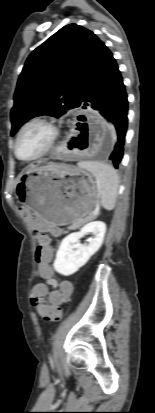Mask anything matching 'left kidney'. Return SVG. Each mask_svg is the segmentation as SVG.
I'll return each instance as SVG.
<instances>
[{"mask_svg":"<svg viewBox=\"0 0 155 413\" xmlns=\"http://www.w3.org/2000/svg\"><path fill=\"white\" fill-rule=\"evenodd\" d=\"M92 233L94 238L88 245L79 243L80 238ZM106 233V225L102 221H93L81 228L79 232H74L66 236L56 253L54 269L64 275L69 276L76 273L101 247Z\"/></svg>","mask_w":155,"mask_h":413,"instance_id":"5707ae66","label":"left kidney"}]
</instances>
